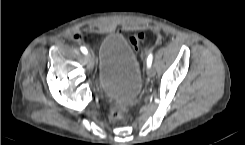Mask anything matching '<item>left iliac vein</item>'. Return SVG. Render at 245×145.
I'll return each instance as SVG.
<instances>
[{"instance_id": "4c4485c4", "label": "left iliac vein", "mask_w": 245, "mask_h": 145, "mask_svg": "<svg viewBox=\"0 0 245 145\" xmlns=\"http://www.w3.org/2000/svg\"><path fill=\"white\" fill-rule=\"evenodd\" d=\"M147 74L150 76V77H153L155 76V69L151 66H148L147 68Z\"/></svg>"}]
</instances>
